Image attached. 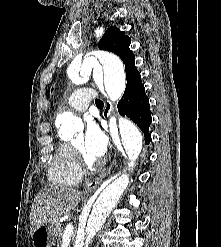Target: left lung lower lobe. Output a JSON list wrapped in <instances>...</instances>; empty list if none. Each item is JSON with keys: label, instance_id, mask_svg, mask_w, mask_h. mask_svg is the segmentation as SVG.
Returning a JSON list of instances; mask_svg holds the SVG:
<instances>
[{"label": "left lung lower lobe", "instance_id": "1", "mask_svg": "<svg viewBox=\"0 0 221 247\" xmlns=\"http://www.w3.org/2000/svg\"><path fill=\"white\" fill-rule=\"evenodd\" d=\"M118 111L121 116H127L139 126L144 133L145 143L149 144L151 141L149 126L152 119L149 100L140 80H133L126 88L122 99L118 103Z\"/></svg>", "mask_w": 221, "mask_h": 247}]
</instances>
